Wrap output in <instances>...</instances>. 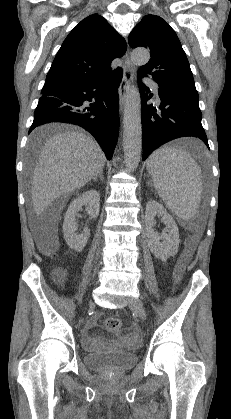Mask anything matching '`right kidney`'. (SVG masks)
Returning a JSON list of instances; mask_svg holds the SVG:
<instances>
[{"label":"right kidney","instance_id":"right-kidney-1","mask_svg":"<svg viewBox=\"0 0 231 419\" xmlns=\"http://www.w3.org/2000/svg\"><path fill=\"white\" fill-rule=\"evenodd\" d=\"M85 206V210L88 213L90 219H95L99 215L100 211V194L96 190H88L77 198H75L69 205L63 222V233L64 239L69 247L77 252H81L86 246L90 237V229L84 228L81 234H76L75 231L76 215L82 207Z\"/></svg>","mask_w":231,"mask_h":419}]
</instances>
